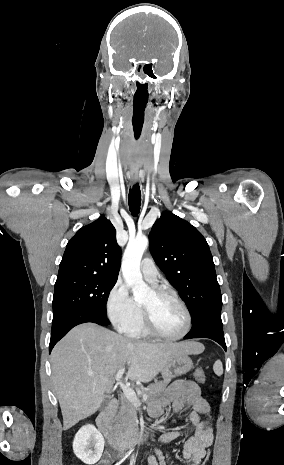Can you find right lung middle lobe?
<instances>
[{"label": "right lung middle lobe", "mask_w": 284, "mask_h": 465, "mask_svg": "<svg viewBox=\"0 0 284 465\" xmlns=\"http://www.w3.org/2000/svg\"><path fill=\"white\" fill-rule=\"evenodd\" d=\"M117 279L94 276L57 278L53 297V320L73 311H92L106 316V303Z\"/></svg>", "instance_id": "right-lung-middle-lobe-1"}]
</instances>
